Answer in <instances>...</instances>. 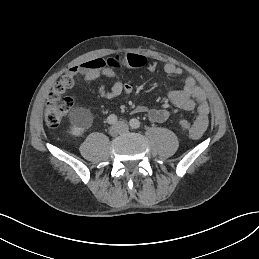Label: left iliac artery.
I'll list each match as a JSON object with an SVG mask.
<instances>
[{
	"label": "left iliac artery",
	"instance_id": "44dca946",
	"mask_svg": "<svg viewBox=\"0 0 259 259\" xmlns=\"http://www.w3.org/2000/svg\"><path fill=\"white\" fill-rule=\"evenodd\" d=\"M129 124H130L131 128H133V129H138L141 126L140 121L137 120L136 118L131 119Z\"/></svg>",
	"mask_w": 259,
	"mask_h": 259
}]
</instances>
